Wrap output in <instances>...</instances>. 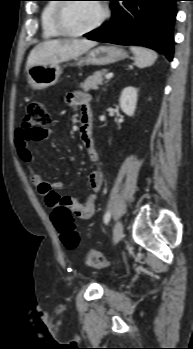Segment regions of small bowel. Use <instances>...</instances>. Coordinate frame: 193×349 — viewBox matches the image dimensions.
<instances>
[{
  "label": "small bowel",
  "mask_w": 193,
  "mask_h": 349,
  "mask_svg": "<svg viewBox=\"0 0 193 349\" xmlns=\"http://www.w3.org/2000/svg\"><path fill=\"white\" fill-rule=\"evenodd\" d=\"M66 103L69 106L78 108L80 111L81 142L90 161L96 166L88 175L91 193L84 202L68 196L61 197L57 190L61 189L63 184L61 182L51 183L46 181L37 172L34 157L29 149V142L35 139H31L23 128L16 131L15 145L20 159L29 169L32 183L38 188L46 204L54 208L59 203H67L72 210L73 216L88 220L94 215L96 194L100 190L103 180L102 172L99 169V156L92 135V117L89 106L90 95L82 91H74L66 96Z\"/></svg>",
  "instance_id": "obj_1"
}]
</instances>
